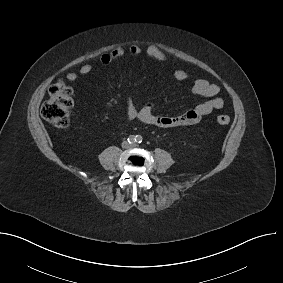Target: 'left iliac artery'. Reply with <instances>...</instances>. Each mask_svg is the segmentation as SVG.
<instances>
[{"label":"left iliac artery","mask_w":283,"mask_h":283,"mask_svg":"<svg viewBox=\"0 0 283 283\" xmlns=\"http://www.w3.org/2000/svg\"><path fill=\"white\" fill-rule=\"evenodd\" d=\"M142 140H143V138H142V136H140V135H138L137 136V143H141L142 142Z\"/></svg>","instance_id":"obj_1"}]
</instances>
